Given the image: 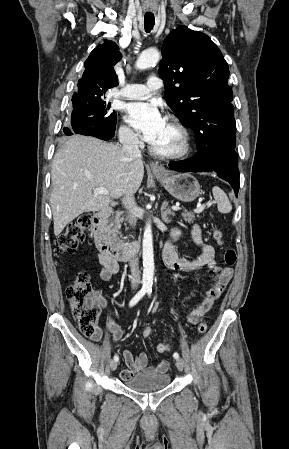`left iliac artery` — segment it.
<instances>
[{
	"mask_svg": "<svg viewBox=\"0 0 289 449\" xmlns=\"http://www.w3.org/2000/svg\"><path fill=\"white\" fill-rule=\"evenodd\" d=\"M148 295L150 296L151 295V292H152V290L151 289H149L148 291ZM173 357L175 358V359H178L179 358V354L177 353V352H175L174 354H173Z\"/></svg>",
	"mask_w": 289,
	"mask_h": 449,
	"instance_id": "1",
	"label": "left iliac artery"
}]
</instances>
